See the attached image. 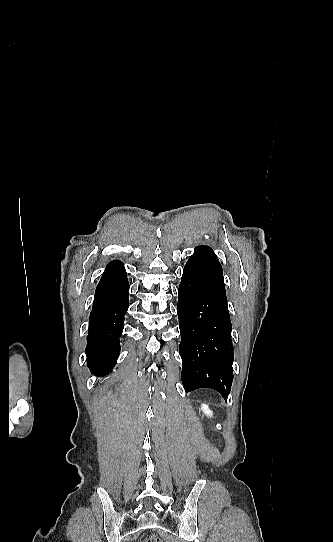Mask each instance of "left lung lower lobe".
I'll use <instances>...</instances> for the list:
<instances>
[{"instance_id":"obj_1","label":"left lung lower lobe","mask_w":333,"mask_h":542,"mask_svg":"<svg viewBox=\"0 0 333 542\" xmlns=\"http://www.w3.org/2000/svg\"><path fill=\"white\" fill-rule=\"evenodd\" d=\"M177 313L184 389L212 388L227 399L233 381L232 326L222 267L208 246H197L184 267Z\"/></svg>"}]
</instances>
